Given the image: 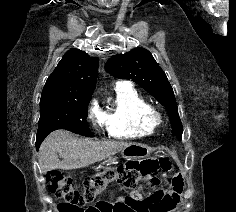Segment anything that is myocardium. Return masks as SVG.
<instances>
[{
    "label": "myocardium",
    "mask_w": 236,
    "mask_h": 212,
    "mask_svg": "<svg viewBox=\"0 0 236 212\" xmlns=\"http://www.w3.org/2000/svg\"><path fill=\"white\" fill-rule=\"evenodd\" d=\"M147 116L150 123H152L154 126H158L164 121L162 112L159 109L152 106L150 107Z\"/></svg>",
    "instance_id": "obj_1"
}]
</instances>
